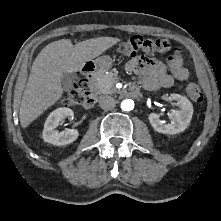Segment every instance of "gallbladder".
I'll return each instance as SVG.
<instances>
[{
	"instance_id": "1",
	"label": "gallbladder",
	"mask_w": 221,
	"mask_h": 221,
	"mask_svg": "<svg viewBox=\"0 0 221 221\" xmlns=\"http://www.w3.org/2000/svg\"><path fill=\"white\" fill-rule=\"evenodd\" d=\"M77 75L75 73H63L61 85L65 91L72 88L74 82L77 80Z\"/></svg>"
}]
</instances>
